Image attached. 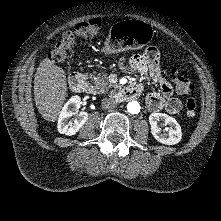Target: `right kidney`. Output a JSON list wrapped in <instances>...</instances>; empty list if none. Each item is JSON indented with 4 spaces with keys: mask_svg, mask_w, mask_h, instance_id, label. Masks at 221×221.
I'll use <instances>...</instances> for the list:
<instances>
[{
    "mask_svg": "<svg viewBox=\"0 0 221 221\" xmlns=\"http://www.w3.org/2000/svg\"><path fill=\"white\" fill-rule=\"evenodd\" d=\"M81 98L79 96H72L62 108L59 118L57 128L61 134L72 136L76 134L80 128L88 120V114L86 112H80L77 118H72L76 114V111L80 108Z\"/></svg>",
    "mask_w": 221,
    "mask_h": 221,
    "instance_id": "obj_1",
    "label": "right kidney"
}]
</instances>
